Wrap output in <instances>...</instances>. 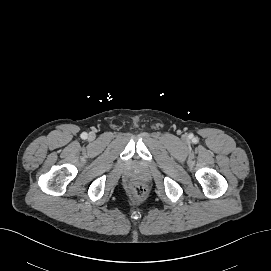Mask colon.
I'll list each match as a JSON object with an SVG mask.
<instances>
[{"label":"colon","mask_w":271,"mask_h":271,"mask_svg":"<svg viewBox=\"0 0 271 271\" xmlns=\"http://www.w3.org/2000/svg\"><path fill=\"white\" fill-rule=\"evenodd\" d=\"M132 194L137 200L141 201L146 196V189L142 185H134L132 187Z\"/></svg>","instance_id":"5ec220e1"}]
</instances>
